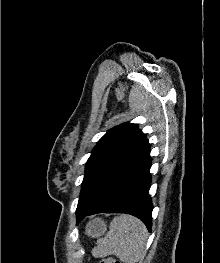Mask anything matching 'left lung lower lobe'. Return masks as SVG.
Listing matches in <instances>:
<instances>
[{"instance_id":"1","label":"left lung lower lobe","mask_w":220,"mask_h":263,"mask_svg":"<svg viewBox=\"0 0 220 263\" xmlns=\"http://www.w3.org/2000/svg\"><path fill=\"white\" fill-rule=\"evenodd\" d=\"M150 167L149 150L93 206L76 211L77 224L87 215L127 213L141 219L151 232L153 206L149 196Z\"/></svg>"}]
</instances>
